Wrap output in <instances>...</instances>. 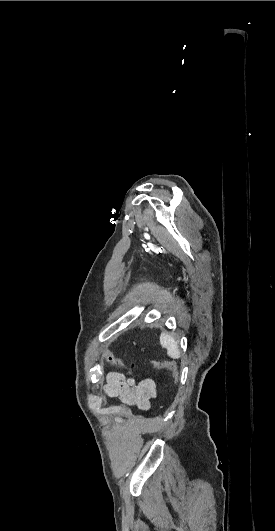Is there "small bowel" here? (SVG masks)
<instances>
[{
	"instance_id": "obj_1",
	"label": "small bowel",
	"mask_w": 275,
	"mask_h": 531,
	"mask_svg": "<svg viewBox=\"0 0 275 531\" xmlns=\"http://www.w3.org/2000/svg\"><path fill=\"white\" fill-rule=\"evenodd\" d=\"M109 398H119L122 404L147 411L150 401L158 396L156 382L151 378L136 380L119 371H111L106 376L103 387Z\"/></svg>"
}]
</instances>
